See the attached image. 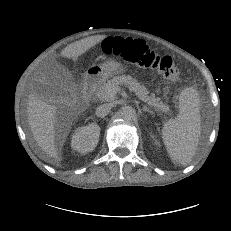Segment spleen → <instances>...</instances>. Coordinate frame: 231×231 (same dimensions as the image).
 Instances as JSON below:
<instances>
[{"label": "spleen", "mask_w": 231, "mask_h": 231, "mask_svg": "<svg viewBox=\"0 0 231 231\" xmlns=\"http://www.w3.org/2000/svg\"><path fill=\"white\" fill-rule=\"evenodd\" d=\"M201 135L199 98L195 89L186 88L179 98V114L162 128V140L174 163L186 165L193 159Z\"/></svg>", "instance_id": "spleen-1"}]
</instances>
